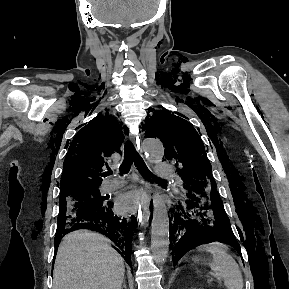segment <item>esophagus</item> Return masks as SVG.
Segmentation results:
<instances>
[{
    "instance_id": "34e87169",
    "label": "esophagus",
    "mask_w": 289,
    "mask_h": 289,
    "mask_svg": "<svg viewBox=\"0 0 289 289\" xmlns=\"http://www.w3.org/2000/svg\"><path fill=\"white\" fill-rule=\"evenodd\" d=\"M138 136H131V139L136 147V149L138 150V152L141 154V148H140V140L138 139ZM142 156V155H141ZM136 172V170H135ZM143 187L146 190V195H147V200L146 202L141 206L140 208V214L141 216L138 214V218L139 221L142 222V225L147 227L149 224V216H150V184L143 182Z\"/></svg>"
}]
</instances>
